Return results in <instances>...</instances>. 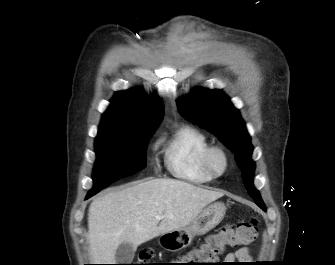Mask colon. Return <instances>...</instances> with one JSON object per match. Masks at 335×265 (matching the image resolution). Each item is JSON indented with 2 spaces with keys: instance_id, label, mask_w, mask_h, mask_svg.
<instances>
[{
  "instance_id": "1",
  "label": "colon",
  "mask_w": 335,
  "mask_h": 265,
  "mask_svg": "<svg viewBox=\"0 0 335 265\" xmlns=\"http://www.w3.org/2000/svg\"><path fill=\"white\" fill-rule=\"evenodd\" d=\"M258 221L253 218L245 222L224 226L219 232L209 235L199 247L189 251L182 260L185 265H214L228 247L251 244L257 237ZM154 256L152 249L140 251L137 263L149 264Z\"/></svg>"
}]
</instances>
